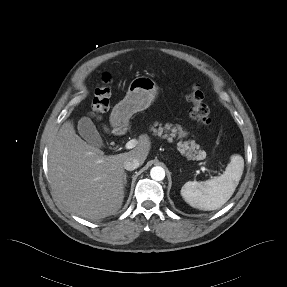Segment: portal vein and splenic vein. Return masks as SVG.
I'll return each instance as SVG.
<instances>
[{
	"label": "portal vein and splenic vein",
	"mask_w": 287,
	"mask_h": 287,
	"mask_svg": "<svg viewBox=\"0 0 287 287\" xmlns=\"http://www.w3.org/2000/svg\"><path fill=\"white\" fill-rule=\"evenodd\" d=\"M137 144H138V141L136 139H131L126 143L125 149H127V150L132 149V148L136 147ZM200 169L202 172H208L209 174H211V173L220 174L218 171L210 170V169L206 168L205 166H201Z\"/></svg>",
	"instance_id": "portal-vein-and-splenic-vein-1"
}]
</instances>
